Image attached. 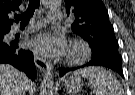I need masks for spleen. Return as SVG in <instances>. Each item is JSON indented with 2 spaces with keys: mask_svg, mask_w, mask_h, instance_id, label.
<instances>
[{
  "mask_svg": "<svg viewBox=\"0 0 135 95\" xmlns=\"http://www.w3.org/2000/svg\"><path fill=\"white\" fill-rule=\"evenodd\" d=\"M88 80L95 95H125L119 80L108 70L101 67H87L74 72Z\"/></svg>",
  "mask_w": 135,
  "mask_h": 95,
  "instance_id": "3e777b00",
  "label": "spleen"
}]
</instances>
